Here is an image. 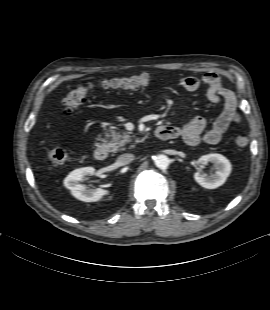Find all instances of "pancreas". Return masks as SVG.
<instances>
[{"mask_svg": "<svg viewBox=\"0 0 270 310\" xmlns=\"http://www.w3.org/2000/svg\"><path fill=\"white\" fill-rule=\"evenodd\" d=\"M110 141H106L107 148L112 152L124 151L126 149L127 144H131L130 147H133L132 141L134 139V135L132 133L120 130L115 127L110 128Z\"/></svg>", "mask_w": 270, "mask_h": 310, "instance_id": "1", "label": "pancreas"}]
</instances>
